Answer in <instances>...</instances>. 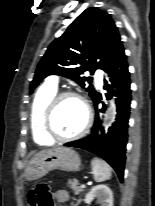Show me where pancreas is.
Listing matches in <instances>:
<instances>
[{
    "label": "pancreas",
    "mask_w": 155,
    "mask_h": 206,
    "mask_svg": "<svg viewBox=\"0 0 155 206\" xmlns=\"http://www.w3.org/2000/svg\"><path fill=\"white\" fill-rule=\"evenodd\" d=\"M67 184L76 195L84 191V189L79 186V182L77 180H69Z\"/></svg>",
    "instance_id": "cf45deb5"
}]
</instances>
